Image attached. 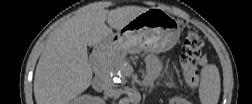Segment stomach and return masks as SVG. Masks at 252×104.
Segmentation results:
<instances>
[{"instance_id": "1", "label": "stomach", "mask_w": 252, "mask_h": 104, "mask_svg": "<svg viewBox=\"0 0 252 104\" xmlns=\"http://www.w3.org/2000/svg\"><path fill=\"white\" fill-rule=\"evenodd\" d=\"M180 36V23L164 10L153 8L138 15L97 46V52L119 58L141 51L170 50Z\"/></svg>"}]
</instances>
